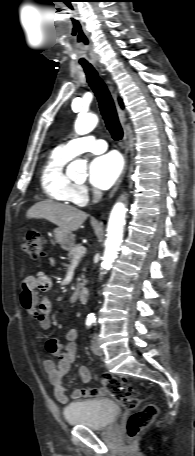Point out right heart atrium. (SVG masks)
<instances>
[{
    "label": "right heart atrium",
    "instance_id": "1",
    "mask_svg": "<svg viewBox=\"0 0 195 456\" xmlns=\"http://www.w3.org/2000/svg\"><path fill=\"white\" fill-rule=\"evenodd\" d=\"M90 190L86 185L75 184L72 190L73 202L78 205H84L89 200Z\"/></svg>",
    "mask_w": 195,
    "mask_h": 456
}]
</instances>
